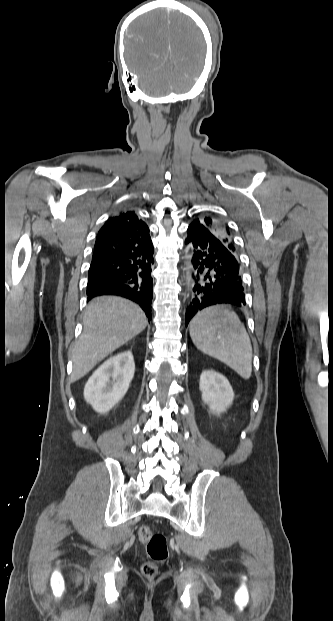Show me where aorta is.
<instances>
[{
  "label": "aorta",
  "mask_w": 333,
  "mask_h": 621,
  "mask_svg": "<svg viewBox=\"0 0 333 621\" xmlns=\"http://www.w3.org/2000/svg\"><path fill=\"white\" fill-rule=\"evenodd\" d=\"M188 262H187V283H188V287L190 286V281L192 279V266H191V256L188 255L187 256Z\"/></svg>",
  "instance_id": "obj_1"
}]
</instances>
